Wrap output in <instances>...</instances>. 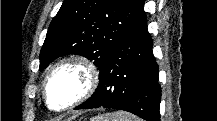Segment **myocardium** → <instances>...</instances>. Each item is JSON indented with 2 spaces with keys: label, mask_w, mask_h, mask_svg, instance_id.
Returning <instances> with one entry per match:
<instances>
[{
  "label": "myocardium",
  "mask_w": 217,
  "mask_h": 121,
  "mask_svg": "<svg viewBox=\"0 0 217 121\" xmlns=\"http://www.w3.org/2000/svg\"><path fill=\"white\" fill-rule=\"evenodd\" d=\"M67 67H75L83 70L87 78L86 86L83 89V91L72 102H70L69 104L61 108H54L50 104L49 84L53 76L59 70ZM99 82H100L99 71L97 66L92 60L79 55L70 56L57 62L46 75L43 83V98L50 110L54 112H64L87 100L96 91Z\"/></svg>",
  "instance_id": "obj_1"
}]
</instances>
